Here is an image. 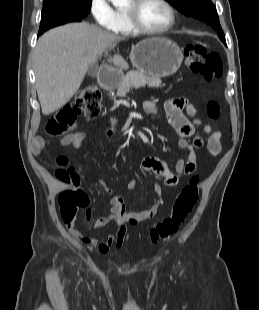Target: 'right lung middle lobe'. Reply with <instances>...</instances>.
<instances>
[{"label": "right lung middle lobe", "instance_id": "dd1d6c3e", "mask_svg": "<svg viewBox=\"0 0 259 310\" xmlns=\"http://www.w3.org/2000/svg\"><path fill=\"white\" fill-rule=\"evenodd\" d=\"M92 0H56L43 2L38 35L69 22H80L91 9Z\"/></svg>", "mask_w": 259, "mask_h": 310}]
</instances>
